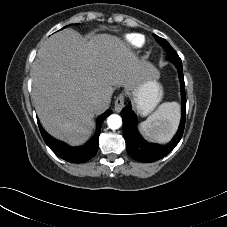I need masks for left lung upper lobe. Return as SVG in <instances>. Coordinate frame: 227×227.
Masks as SVG:
<instances>
[{"label": "left lung upper lobe", "instance_id": "left-lung-upper-lobe-1", "mask_svg": "<svg viewBox=\"0 0 227 227\" xmlns=\"http://www.w3.org/2000/svg\"><path fill=\"white\" fill-rule=\"evenodd\" d=\"M156 40L162 45L164 50L167 52V59L173 62L177 67L182 66V61L178 56L177 52L171 47V45L163 38L154 35Z\"/></svg>", "mask_w": 227, "mask_h": 227}]
</instances>
